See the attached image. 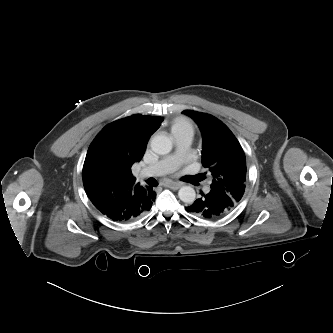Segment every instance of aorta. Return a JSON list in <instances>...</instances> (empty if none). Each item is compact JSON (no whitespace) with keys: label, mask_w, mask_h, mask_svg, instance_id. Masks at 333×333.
Instances as JSON below:
<instances>
[{"label":"aorta","mask_w":333,"mask_h":333,"mask_svg":"<svg viewBox=\"0 0 333 333\" xmlns=\"http://www.w3.org/2000/svg\"><path fill=\"white\" fill-rule=\"evenodd\" d=\"M152 150L160 155L168 154L172 150V141L165 135H156L151 140ZM178 196L184 203H193L196 192L191 186H183L178 191Z\"/></svg>","instance_id":"1"}]
</instances>
